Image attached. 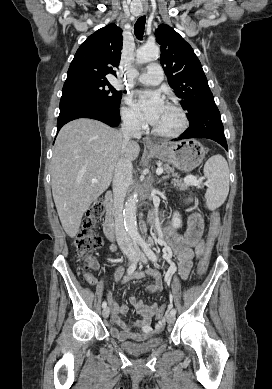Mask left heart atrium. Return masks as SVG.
<instances>
[{
	"label": "left heart atrium",
	"mask_w": 272,
	"mask_h": 389,
	"mask_svg": "<svg viewBox=\"0 0 272 389\" xmlns=\"http://www.w3.org/2000/svg\"><path fill=\"white\" fill-rule=\"evenodd\" d=\"M134 103L151 124L156 122L164 106L162 97L156 91H136Z\"/></svg>",
	"instance_id": "obj_1"
}]
</instances>
